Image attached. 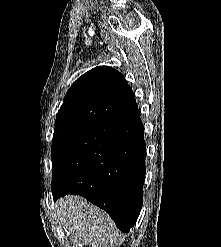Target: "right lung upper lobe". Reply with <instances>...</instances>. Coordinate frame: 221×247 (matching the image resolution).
<instances>
[{"label":"right lung upper lobe","instance_id":"1","mask_svg":"<svg viewBox=\"0 0 221 247\" xmlns=\"http://www.w3.org/2000/svg\"><path fill=\"white\" fill-rule=\"evenodd\" d=\"M138 108L123 75L109 66H97L78 78L66 93L56 115L55 129H87Z\"/></svg>","mask_w":221,"mask_h":247}]
</instances>
